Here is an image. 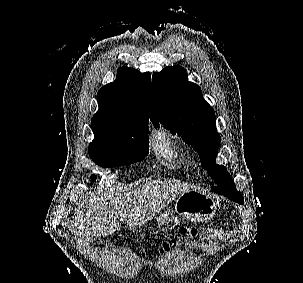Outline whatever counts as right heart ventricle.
<instances>
[{"mask_svg": "<svg viewBox=\"0 0 303 283\" xmlns=\"http://www.w3.org/2000/svg\"><path fill=\"white\" fill-rule=\"evenodd\" d=\"M153 147L156 153L168 162L174 165L180 162L181 149L167 130L161 129L154 134Z\"/></svg>", "mask_w": 303, "mask_h": 283, "instance_id": "e07e8e85", "label": "right heart ventricle"}]
</instances>
